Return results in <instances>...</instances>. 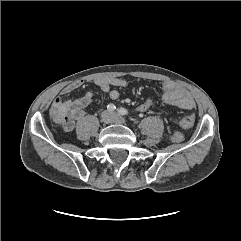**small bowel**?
Wrapping results in <instances>:
<instances>
[{
  "label": "small bowel",
  "instance_id": "obj_1",
  "mask_svg": "<svg viewBox=\"0 0 241 241\" xmlns=\"http://www.w3.org/2000/svg\"><path fill=\"white\" fill-rule=\"evenodd\" d=\"M96 84L103 92L107 93L112 100L119 98V91L117 88H122L127 85V81L122 78L110 77V78H98L92 81ZM83 81H76L66 85L62 91V95H68L82 86ZM162 89L161 99L168 105L174 106L183 110H192L196 107L195 101L188 90L169 80L160 82ZM95 99L93 92H87L83 97L73 99L64 103V106L69 107L71 114L74 119L79 120L85 114V108L92 104ZM73 127L64 128L69 131Z\"/></svg>",
  "mask_w": 241,
  "mask_h": 241
}]
</instances>
